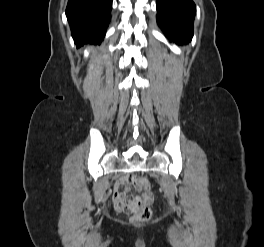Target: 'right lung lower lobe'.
Returning a JSON list of instances; mask_svg holds the SVG:
<instances>
[{
  "mask_svg": "<svg viewBox=\"0 0 264 247\" xmlns=\"http://www.w3.org/2000/svg\"><path fill=\"white\" fill-rule=\"evenodd\" d=\"M112 0H68L66 16L78 46L101 43L111 19Z\"/></svg>",
  "mask_w": 264,
  "mask_h": 247,
  "instance_id": "right-lung-lower-lobe-1",
  "label": "right lung lower lobe"
}]
</instances>
